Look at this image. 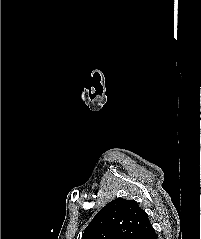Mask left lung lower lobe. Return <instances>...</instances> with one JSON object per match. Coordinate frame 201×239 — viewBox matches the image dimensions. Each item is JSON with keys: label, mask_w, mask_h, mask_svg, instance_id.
Instances as JSON below:
<instances>
[{"label": "left lung lower lobe", "mask_w": 201, "mask_h": 239, "mask_svg": "<svg viewBox=\"0 0 201 239\" xmlns=\"http://www.w3.org/2000/svg\"><path fill=\"white\" fill-rule=\"evenodd\" d=\"M143 239H157V234L152 226Z\"/></svg>", "instance_id": "left-lung-lower-lobe-1"}]
</instances>
